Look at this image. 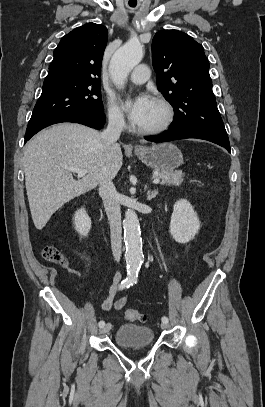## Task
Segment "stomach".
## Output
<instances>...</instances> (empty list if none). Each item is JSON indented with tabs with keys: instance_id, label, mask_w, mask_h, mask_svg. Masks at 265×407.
I'll return each mask as SVG.
<instances>
[{
	"instance_id": "stomach-1",
	"label": "stomach",
	"mask_w": 265,
	"mask_h": 407,
	"mask_svg": "<svg viewBox=\"0 0 265 407\" xmlns=\"http://www.w3.org/2000/svg\"><path fill=\"white\" fill-rule=\"evenodd\" d=\"M137 157L148 167L160 171H173L183 162L181 151L172 143H160L136 149Z\"/></svg>"
}]
</instances>
